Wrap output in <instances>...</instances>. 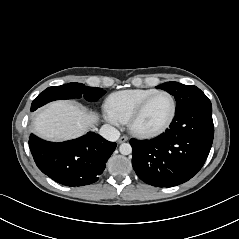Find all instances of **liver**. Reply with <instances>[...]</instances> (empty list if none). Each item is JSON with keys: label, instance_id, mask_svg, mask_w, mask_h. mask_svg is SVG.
<instances>
[{"label": "liver", "instance_id": "liver-1", "mask_svg": "<svg viewBox=\"0 0 239 239\" xmlns=\"http://www.w3.org/2000/svg\"><path fill=\"white\" fill-rule=\"evenodd\" d=\"M97 120V113H87L78 104L55 101L36 115L33 120V131L47 140H68L94 128Z\"/></svg>", "mask_w": 239, "mask_h": 239}]
</instances>
